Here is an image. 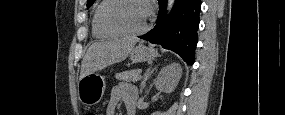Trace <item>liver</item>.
Returning a JSON list of instances; mask_svg holds the SVG:
<instances>
[{"mask_svg":"<svg viewBox=\"0 0 285 115\" xmlns=\"http://www.w3.org/2000/svg\"><path fill=\"white\" fill-rule=\"evenodd\" d=\"M137 42V38H122L93 43L82 60L80 78L123 61Z\"/></svg>","mask_w":285,"mask_h":115,"instance_id":"6515ba94","label":"liver"}]
</instances>
